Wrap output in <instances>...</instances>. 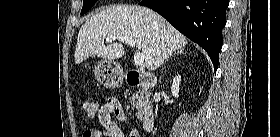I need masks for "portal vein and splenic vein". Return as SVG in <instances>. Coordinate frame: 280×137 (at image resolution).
<instances>
[{"mask_svg": "<svg viewBox=\"0 0 280 137\" xmlns=\"http://www.w3.org/2000/svg\"><path fill=\"white\" fill-rule=\"evenodd\" d=\"M116 39H121V40L125 41L127 44H129L131 47H135L134 40L128 36H110V37L106 38V41L111 42ZM134 62L137 66H142L144 63V55L141 52L135 53Z\"/></svg>", "mask_w": 280, "mask_h": 137, "instance_id": "1", "label": "portal vein and splenic vein"}]
</instances>
